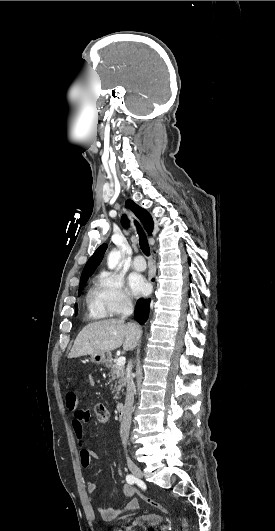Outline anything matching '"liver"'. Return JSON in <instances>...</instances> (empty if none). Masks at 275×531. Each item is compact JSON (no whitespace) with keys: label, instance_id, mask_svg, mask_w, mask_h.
I'll return each instance as SVG.
<instances>
[{"label":"liver","instance_id":"liver-1","mask_svg":"<svg viewBox=\"0 0 275 531\" xmlns=\"http://www.w3.org/2000/svg\"><path fill=\"white\" fill-rule=\"evenodd\" d=\"M141 337L137 323H124V319H106L89 323L74 341L69 359L93 355L96 351H114L123 345L124 351H132Z\"/></svg>","mask_w":275,"mask_h":531}]
</instances>
